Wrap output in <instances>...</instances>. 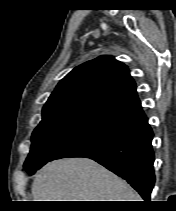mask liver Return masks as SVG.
<instances>
[{"label":"liver","mask_w":176,"mask_h":211,"mask_svg":"<svg viewBox=\"0 0 176 211\" xmlns=\"http://www.w3.org/2000/svg\"><path fill=\"white\" fill-rule=\"evenodd\" d=\"M31 191L34 201H141L126 181L87 158L49 162Z\"/></svg>","instance_id":"liver-1"}]
</instances>
